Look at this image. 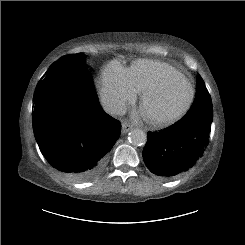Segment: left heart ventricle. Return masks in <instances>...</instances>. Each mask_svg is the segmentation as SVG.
<instances>
[{"mask_svg": "<svg viewBox=\"0 0 245 245\" xmlns=\"http://www.w3.org/2000/svg\"><path fill=\"white\" fill-rule=\"evenodd\" d=\"M190 88L186 80L176 76L157 95L151 97L143 107L145 116H166L179 110L186 102Z\"/></svg>", "mask_w": 245, "mask_h": 245, "instance_id": "left-heart-ventricle-1", "label": "left heart ventricle"}]
</instances>
